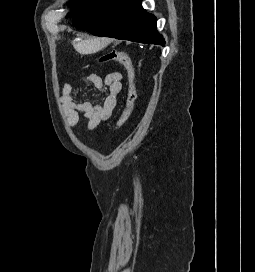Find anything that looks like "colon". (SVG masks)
I'll use <instances>...</instances> for the list:
<instances>
[{"label":"colon","mask_w":255,"mask_h":272,"mask_svg":"<svg viewBox=\"0 0 255 272\" xmlns=\"http://www.w3.org/2000/svg\"><path fill=\"white\" fill-rule=\"evenodd\" d=\"M100 61L118 63L126 71L128 88L125 107L116 126V129L119 130L124 126L128 118L130 117L136 99V91L134 86L135 79L134 69L128 55L118 50H111L107 52L105 55L101 57Z\"/></svg>","instance_id":"obj_1"}]
</instances>
